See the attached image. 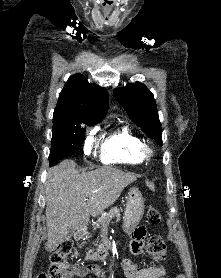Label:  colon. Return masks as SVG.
Listing matches in <instances>:
<instances>
[{"mask_svg": "<svg viewBox=\"0 0 221 278\" xmlns=\"http://www.w3.org/2000/svg\"><path fill=\"white\" fill-rule=\"evenodd\" d=\"M147 220L151 225H158L162 220L158 209L150 207L147 212ZM72 249V242L67 240L61 242L57 249L51 253L50 267L47 273H42L38 278H68L73 266L67 261V257ZM147 251L152 260L159 262L166 257V244L162 237L153 235L147 244Z\"/></svg>", "mask_w": 221, "mask_h": 278, "instance_id": "colon-1", "label": "colon"}]
</instances>
